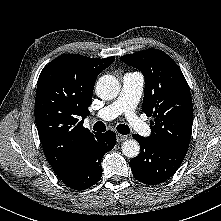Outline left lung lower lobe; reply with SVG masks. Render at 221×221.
<instances>
[{"instance_id":"left-lung-lower-lobe-1","label":"left lung lower lobe","mask_w":221,"mask_h":221,"mask_svg":"<svg viewBox=\"0 0 221 221\" xmlns=\"http://www.w3.org/2000/svg\"><path fill=\"white\" fill-rule=\"evenodd\" d=\"M133 138L139 142L141 151L130 160L132 173L135 179L148 185L160 184L173 176L186 155L156 146L138 134Z\"/></svg>"}]
</instances>
